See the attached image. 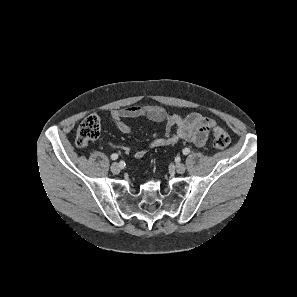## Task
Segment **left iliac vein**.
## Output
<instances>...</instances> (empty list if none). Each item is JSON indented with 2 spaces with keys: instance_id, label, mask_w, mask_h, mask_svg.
I'll use <instances>...</instances> for the list:
<instances>
[{
  "instance_id": "left-iliac-vein-1",
  "label": "left iliac vein",
  "mask_w": 297,
  "mask_h": 297,
  "mask_svg": "<svg viewBox=\"0 0 297 297\" xmlns=\"http://www.w3.org/2000/svg\"><path fill=\"white\" fill-rule=\"evenodd\" d=\"M175 169H176V171H177L178 173L182 174V173L185 172L186 167H185V165L182 164V163H176V164H175Z\"/></svg>"
}]
</instances>
